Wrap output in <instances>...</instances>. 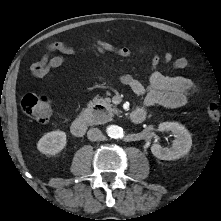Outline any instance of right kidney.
Masks as SVG:
<instances>
[{
  "mask_svg": "<svg viewBox=\"0 0 221 221\" xmlns=\"http://www.w3.org/2000/svg\"><path fill=\"white\" fill-rule=\"evenodd\" d=\"M66 133L52 131L46 133L37 143V149L43 154L55 155L66 146Z\"/></svg>",
  "mask_w": 221,
  "mask_h": 221,
  "instance_id": "ca27d5eb",
  "label": "right kidney"
}]
</instances>
